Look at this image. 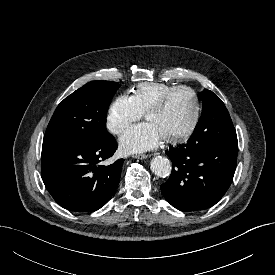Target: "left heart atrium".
I'll use <instances>...</instances> for the list:
<instances>
[{
	"instance_id": "obj_1",
	"label": "left heart atrium",
	"mask_w": 275,
	"mask_h": 275,
	"mask_svg": "<svg viewBox=\"0 0 275 275\" xmlns=\"http://www.w3.org/2000/svg\"><path fill=\"white\" fill-rule=\"evenodd\" d=\"M163 137L150 122L131 127L120 138V148L125 153H142L157 147Z\"/></svg>"
}]
</instances>
